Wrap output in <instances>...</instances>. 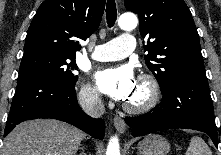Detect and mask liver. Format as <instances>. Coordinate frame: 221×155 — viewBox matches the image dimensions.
Instances as JSON below:
<instances>
[{
	"instance_id": "6515ba94",
	"label": "liver",
	"mask_w": 221,
	"mask_h": 155,
	"mask_svg": "<svg viewBox=\"0 0 221 155\" xmlns=\"http://www.w3.org/2000/svg\"><path fill=\"white\" fill-rule=\"evenodd\" d=\"M85 134L52 119L26 121L5 138L3 155H76Z\"/></svg>"
}]
</instances>
